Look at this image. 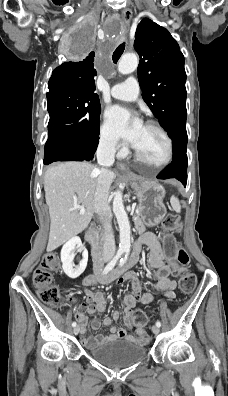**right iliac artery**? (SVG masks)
Wrapping results in <instances>:
<instances>
[{"label": "right iliac artery", "instance_id": "obj_1", "mask_svg": "<svg viewBox=\"0 0 228 396\" xmlns=\"http://www.w3.org/2000/svg\"><path fill=\"white\" fill-rule=\"evenodd\" d=\"M124 251H118L117 254L115 255V257L108 263V265L104 268L102 274H107L109 271H111L115 264L117 263V261L119 260V258L122 256ZM77 324L76 322L72 323V326L75 327Z\"/></svg>", "mask_w": 228, "mask_h": 396}]
</instances>
